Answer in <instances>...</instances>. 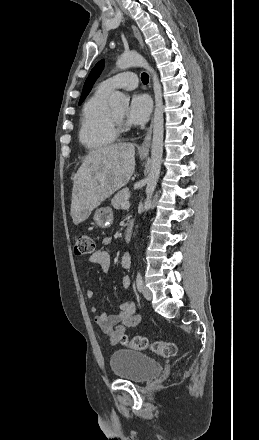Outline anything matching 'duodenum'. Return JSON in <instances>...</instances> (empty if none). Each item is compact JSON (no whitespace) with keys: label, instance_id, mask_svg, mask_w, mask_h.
Listing matches in <instances>:
<instances>
[{"label":"duodenum","instance_id":"410a0bca","mask_svg":"<svg viewBox=\"0 0 259 440\" xmlns=\"http://www.w3.org/2000/svg\"><path fill=\"white\" fill-rule=\"evenodd\" d=\"M133 229H134L133 222H128L127 226H126V229H125V235H124L126 242H130L132 240Z\"/></svg>","mask_w":259,"mask_h":440}]
</instances>
